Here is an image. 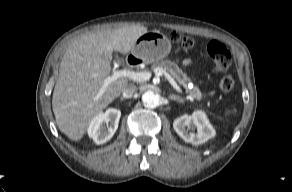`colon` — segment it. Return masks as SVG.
I'll return each instance as SVG.
<instances>
[{"label":"colon","instance_id":"5ec220e1","mask_svg":"<svg viewBox=\"0 0 292 192\" xmlns=\"http://www.w3.org/2000/svg\"><path fill=\"white\" fill-rule=\"evenodd\" d=\"M173 41L179 43L184 49H190L194 45L192 38L188 36H180L174 34L172 36ZM208 52L212 59L213 71L216 74L225 73L231 65V53L228 48L222 42L218 40H212L208 44ZM234 87V80L230 75H225L220 81V89L222 92L227 93Z\"/></svg>","mask_w":292,"mask_h":192}]
</instances>
